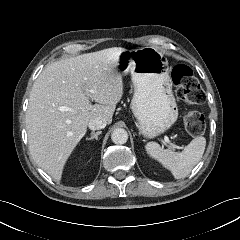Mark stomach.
I'll return each mask as SVG.
<instances>
[{"mask_svg":"<svg viewBox=\"0 0 240 240\" xmlns=\"http://www.w3.org/2000/svg\"><path fill=\"white\" fill-rule=\"evenodd\" d=\"M117 69L131 75V110L140 134L154 138L167 130L177 120L178 109L165 55L152 47L125 49L118 56Z\"/></svg>","mask_w":240,"mask_h":240,"instance_id":"0dacf381","label":"stomach"}]
</instances>
